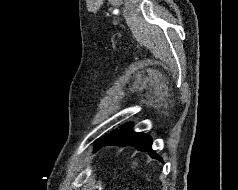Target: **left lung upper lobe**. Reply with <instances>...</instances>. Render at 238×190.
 Wrapping results in <instances>:
<instances>
[{
	"instance_id": "1",
	"label": "left lung upper lobe",
	"mask_w": 238,
	"mask_h": 190,
	"mask_svg": "<svg viewBox=\"0 0 238 190\" xmlns=\"http://www.w3.org/2000/svg\"><path fill=\"white\" fill-rule=\"evenodd\" d=\"M103 139H104V138H102V139L99 140L98 144L95 146V149L101 146V143H102Z\"/></svg>"
}]
</instances>
